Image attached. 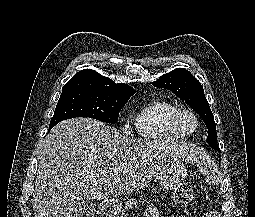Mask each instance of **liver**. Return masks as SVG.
Instances as JSON below:
<instances>
[{"mask_svg": "<svg viewBox=\"0 0 255 217\" xmlns=\"http://www.w3.org/2000/svg\"><path fill=\"white\" fill-rule=\"evenodd\" d=\"M202 154L193 145L128 138L89 118L65 120L49 132L39 154L35 217H72L82 198L132 194L168 162Z\"/></svg>", "mask_w": 255, "mask_h": 217, "instance_id": "obj_1", "label": "liver"}]
</instances>
